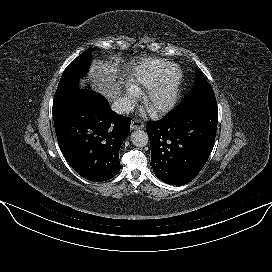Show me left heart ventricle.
Masks as SVG:
<instances>
[{"label": "left heart ventricle", "mask_w": 272, "mask_h": 272, "mask_svg": "<svg viewBox=\"0 0 272 272\" xmlns=\"http://www.w3.org/2000/svg\"><path fill=\"white\" fill-rule=\"evenodd\" d=\"M175 77V71H173L167 81V83L161 88V90L156 94L154 101L157 103L164 102L168 99L170 94L171 82Z\"/></svg>", "instance_id": "1"}]
</instances>
